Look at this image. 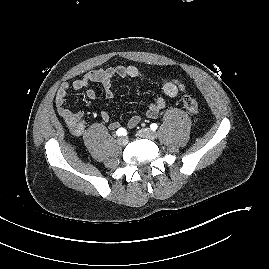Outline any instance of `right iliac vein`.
<instances>
[{
    "label": "right iliac vein",
    "mask_w": 269,
    "mask_h": 269,
    "mask_svg": "<svg viewBox=\"0 0 269 269\" xmlns=\"http://www.w3.org/2000/svg\"><path fill=\"white\" fill-rule=\"evenodd\" d=\"M118 143L121 145H126L128 143V138L127 137H120V138H118Z\"/></svg>",
    "instance_id": "1"
}]
</instances>
